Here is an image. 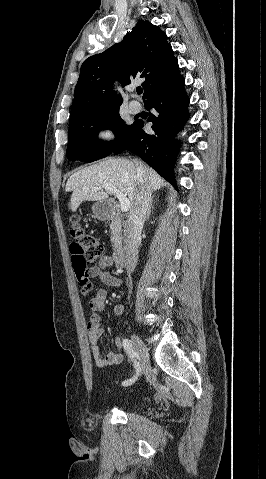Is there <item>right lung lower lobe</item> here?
Instances as JSON below:
<instances>
[{"label": "right lung lower lobe", "mask_w": 266, "mask_h": 479, "mask_svg": "<svg viewBox=\"0 0 266 479\" xmlns=\"http://www.w3.org/2000/svg\"><path fill=\"white\" fill-rule=\"evenodd\" d=\"M184 83L182 75H178L145 99V107L156 110L155 114L150 113L147 120L153 123V134L145 133L142 129L144 122L137 120L132 124L124 140L113 150L114 153L132 151L173 184L175 182L171 169L180 146L173 137L189 117L187 112L189 98L184 91Z\"/></svg>", "instance_id": "right-lung-lower-lobe-1"}]
</instances>
